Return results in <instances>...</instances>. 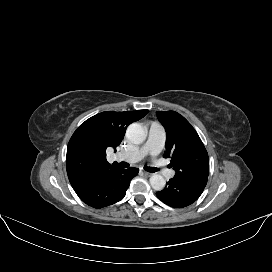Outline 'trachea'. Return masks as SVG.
<instances>
[{"mask_svg":"<svg viewBox=\"0 0 272 272\" xmlns=\"http://www.w3.org/2000/svg\"><path fill=\"white\" fill-rule=\"evenodd\" d=\"M120 164H121V166L124 167V168L129 167V164L126 163V162H121ZM144 169H145L146 171L150 172V173H154V172H157V171H158V169L155 168V167L144 166Z\"/></svg>","mask_w":272,"mask_h":272,"instance_id":"trachea-1","label":"trachea"}]
</instances>
